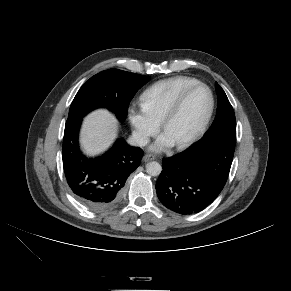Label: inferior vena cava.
Segmentation results:
<instances>
[{
  "mask_svg": "<svg viewBox=\"0 0 291 291\" xmlns=\"http://www.w3.org/2000/svg\"><path fill=\"white\" fill-rule=\"evenodd\" d=\"M128 142L130 145L143 147L149 143V138L140 132H133Z\"/></svg>",
  "mask_w": 291,
  "mask_h": 291,
  "instance_id": "inferior-vena-cava-1",
  "label": "inferior vena cava"
}]
</instances>
